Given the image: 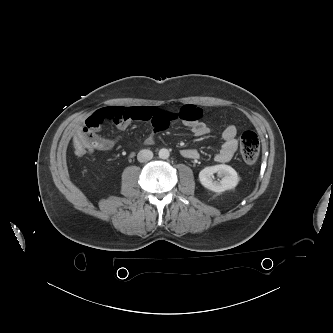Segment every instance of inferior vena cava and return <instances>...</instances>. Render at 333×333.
<instances>
[{
  "label": "inferior vena cava",
  "instance_id": "602c4592",
  "mask_svg": "<svg viewBox=\"0 0 333 333\" xmlns=\"http://www.w3.org/2000/svg\"><path fill=\"white\" fill-rule=\"evenodd\" d=\"M153 158V153L152 151L148 150V149H143L141 151H139L138 155H137V160L139 162H147L149 160H151Z\"/></svg>",
  "mask_w": 333,
  "mask_h": 333
}]
</instances>
